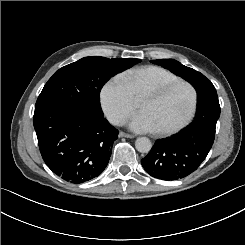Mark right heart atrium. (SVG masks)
<instances>
[{
  "label": "right heart atrium",
  "mask_w": 245,
  "mask_h": 245,
  "mask_svg": "<svg viewBox=\"0 0 245 245\" xmlns=\"http://www.w3.org/2000/svg\"><path fill=\"white\" fill-rule=\"evenodd\" d=\"M100 102L108 119L115 125L123 124L135 107V100L119 77H112L103 85Z\"/></svg>",
  "instance_id": "obj_1"
}]
</instances>
